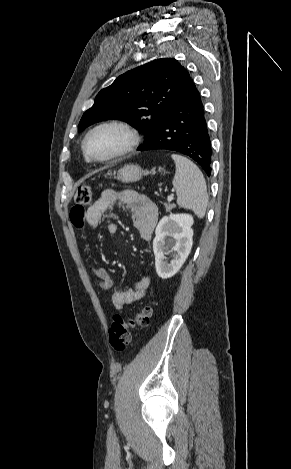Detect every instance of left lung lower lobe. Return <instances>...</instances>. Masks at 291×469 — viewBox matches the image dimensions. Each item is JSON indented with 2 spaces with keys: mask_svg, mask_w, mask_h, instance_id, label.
<instances>
[{
  "mask_svg": "<svg viewBox=\"0 0 291 469\" xmlns=\"http://www.w3.org/2000/svg\"><path fill=\"white\" fill-rule=\"evenodd\" d=\"M168 149L195 160L210 176L212 147L200 93L191 80L137 150Z\"/></svg>",
  "mask_w": 291,
  "mask_h": 469,
  "instance_id": "0a47b994",
  "label": "left lung lower lobe"
}]
</instances>
